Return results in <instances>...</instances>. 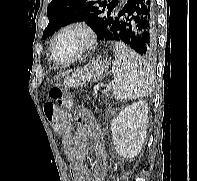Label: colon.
I'll use <instances>...</instances> for the list:
<instances>
[{
  "instance_id": "1",
  "label": "colon",
  "mask_w": 197,
  "mask_h": 181,
  "mask_svg": "<svg viewBox=\"0 0 197 181\" xmlns=\"http://www.w3.org/2000/svg\"><path fill=\"white\" fill-rule=\"evenodd\" d=\"M49 96L51 100L43 107L45 117L57 132H64L70 119L64 108L69 107L70 103L60 85L51 87Z\"/></svg>"
}]
</instances>
